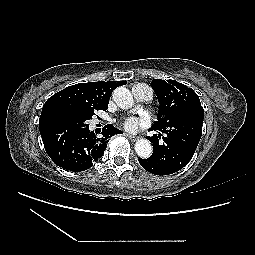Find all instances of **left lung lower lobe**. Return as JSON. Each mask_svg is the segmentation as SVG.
Here are the masks:
<instances>
[{"label": "left lung lower lobe", "instance_id": "1", "mask_svg": "<svg viewBox=\"0 0 255 255\" xmlns=\"http://www.w3.org/2000/svg\"><path fill=\"white\" fill-rule=\"evenodd\" d=\"M204 110L196 112L191 118L179 119L169 127L152 126L151 131L158 135L146 137L153 145V154L148 159H139L140 165L155 175L173 174L192 159L202 135ZM163 141H160L162 134Z\"/></svg>", "mask_w": 255, "mask_h": 255}]
</instances>
